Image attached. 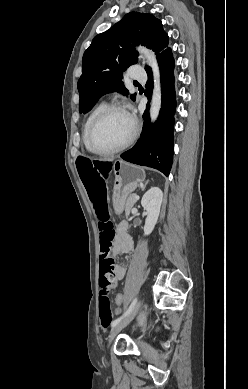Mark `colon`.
<instances>
[{
	"label": "colon",
	"instance_id": "5ec220e1",
	"mask_svg": "<svg viewBox=\"0 0 248 389\" xmlns=\"http://www.w3.org/2000/svg\"><path fill=\"white\" fill-rule=\"evenodd\" d=\"M82 183L87 191L98 217L100 230V286L99 319L102 328H108L113 321L110 292L117 285L114 260L109 251L115 238V227L109 215L106 199V182L112 171L111 161L102 158L76 157ZM125 291H116L115 306L125 303Z\"/></svg>",
	"mask_w": 248,
	"mask_h": 389
}]
</instances>
